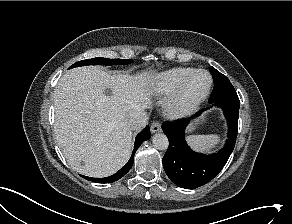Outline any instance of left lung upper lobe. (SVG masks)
<instances>
[{"mask_svg":"<svg viewBox=\"0 0 292 224\" xmlns=\"http://www.w3.org/2000/svg\"><path fill=\"white\" fill-rule=\"evenodd\" d=\"M209 70L214 80V88L209 99V103L214 102L223 97L237 95L234 87L232 86L229 79L225 75H223L213 67H210Z\"/></svg>","mask_w":292,"mask_h":224,"instance_id":"1","label":"left lung upper lobe"}]
</instances>
